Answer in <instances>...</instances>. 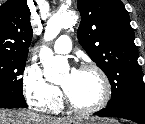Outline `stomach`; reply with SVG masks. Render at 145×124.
Listing matches in <instances>:
<instances>
[{
	"label": "stomach",
	"mask_w": 145,
	"mask_h": 124,
	"mask_svg": "<svg viewBox=\"0 0 145 124\" xmlns=\"http://www.w3.org/2000/svg\"><path fill=\"white\" fill-rule=\"evenodd\" d=\"M74 124H115L114 121L101 118L85 117L78 119Z\"/></svg>",
	"instance_id": "1"
}]
</instances>
